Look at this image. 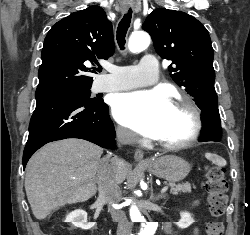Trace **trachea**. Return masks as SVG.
<instances>
[{"mask_svg":"<svg viewBox=\"0 0 250 235\" xmlns=\"http://www.w3.org/2000/svg\"><path fill=\"white\" fill-rule=\"evenodd\" d=\"M131 18H132V9L130 8L127 13L124 14L123 18L118 24L117 27V42L121 50H124L125 46V37L126 33L128 31V28L130 27L131 23ZM98 72L102 71V67L97 68Z\"/></svg>","mask_w":250,"mask_h":235,"instance_id":"1","label":"trachea"}]
</instances>
